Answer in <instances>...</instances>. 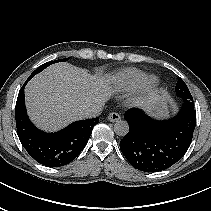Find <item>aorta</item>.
Segmentation results:
<instances>
[{
  "label": "aorta",
  "instance_id": "obj_1",
  "mask_svg": "<svg viewBox=\"0 0 211 211\" xmlns=\"http://www.w3.org/2000/svg\"><path fill=\"white\" fill-rule=\"evenodd\" d=\"M114 132L119 136H125L129 132V125L126 121H117L114 125Z\"/></svg>",
  "mask_w": 211,
  "mask_h": 211
}]
</instances>
